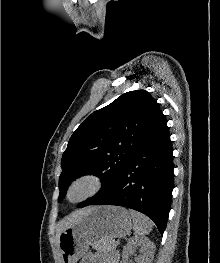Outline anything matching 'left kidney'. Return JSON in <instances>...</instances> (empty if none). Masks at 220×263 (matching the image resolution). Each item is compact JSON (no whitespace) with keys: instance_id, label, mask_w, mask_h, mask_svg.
Masks as SVG:
<instances>
[{"instance_id":"obj_1","label":"left kidney","mask_w":220,"mask_h":263,"mask_svg":"<svg viewBox=\"0 0 220 263\" xmlns=\"http://www.w3.org/2000/svg\"><path fill=\"white\" fill-rule=\"evenodd\" d=\"M140 247V252L142 256L136 258L137 263H151L154 252L155 245L146 237L135 236L131 240H129L128 244L125 246L122 258L124 263L128 259V257L134 254L135 250Z\"/></svg>"}]
</instances>
